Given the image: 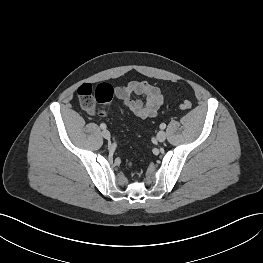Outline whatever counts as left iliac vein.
<instances>
[{
	"instance_id": "4c4485c4",
	"label": "left iliac vein",
	"mask_w": 263,
	"mask_h": 263,
	"mask_svg": "<svg viewBox=\"0 0 263 263\" xmlns=\"http://www.w3.org/2000/svg\"><path fill=\"white\" fill-rule=\"evenodd\" d=\"M166 133L164 131H159L158 134H157V140L159 142H164L166 140Z\"/></svg>"
}]
</instances>
